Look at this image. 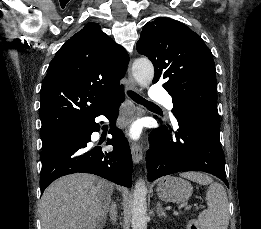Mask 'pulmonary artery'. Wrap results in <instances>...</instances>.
Here are the masks:
<instances>
[{
    "label": "pulmonary artery",
    "mask_w": 261,
    "mask_h": 229,
    "mask_svg": "<svg viewBox=\"0 0 261 229\" xmlns=\"http://www.w3.org/2000/svg\"><path fill=\"white\" fill-rule=\"evenodd\" d=\"M151 88L153 89L150 94V99H163L158 100V105H163V109H165L166 112H171L173 109L172 101L170 100L171 95L169 94V91H166V89H161V84H152ZM171 119L173 123L177 124V119L174 115H171Z\"/></svg>",
    "instance_id": "e3ab8cb5"
}]
</instances>
